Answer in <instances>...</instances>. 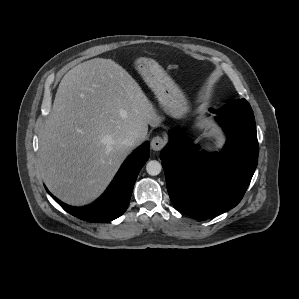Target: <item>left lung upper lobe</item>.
Masks as SVG:
<instances>
[{
    "label": "left lung upper lobe",
    "instance_id": "1",
    "mask_svg": "<svg viewBox=\"0 0 299 299\" xmlns=\"http://www.w3.org/2000/svg\"><path fill=\"white\" fill-rule=\"evenodd\" d=\"M214 112L218 114H253L250 104L245 99L231 101L218 110L214 109Z\"/></svg>",
    "mask_w": 299,
    "mask_h": 299
}]
</instances>
